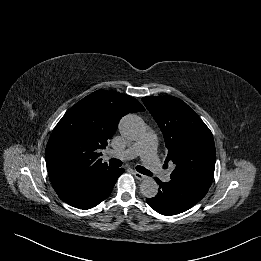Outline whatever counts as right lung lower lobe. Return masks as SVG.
I'll return each mask as SVG.
<instances>
[{
	"label": "right lung lower lobe",
	"mask_w": 261,
	"mask_h": 261,
	"mask_svg": "<svg viewBox=\"0 0 261 261\" xmlns=\"http://www.w3.org/2000/svg\"><path fill=\"white\" fill-rule=\"evenodd\" d=\"M123 168H109L89 180L57 192L60 199L78 209H90L111 193Z\"/></svg>",
	"instance_id": "98d812e1"
}]
</instances>
